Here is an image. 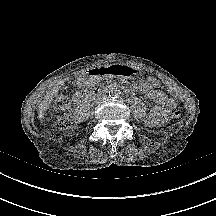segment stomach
I'll return each mask as SVG.
<instances>
[{
    "mask_svg": "<svg viewBox=\"0 0 216 216\" xmlns=\"http://www.w3.org/2000/svg\"><path fill=\"white\" fill-rule=\"evenodd\" d=\"M136 71L130 65L106 64L95 66L89 71L93 80L106 79L110 77L130 78Z\"/></svg>",
    "mask_w": 216,
    "mask_h": 216,
    "instance_id": "0dacf381",
    "label": "stomach"
}]
</instances>
